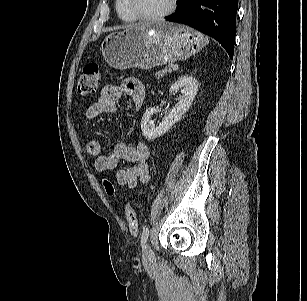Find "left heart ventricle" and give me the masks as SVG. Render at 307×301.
I'll use <instances>...</instances> for the list:
<instances>
[{"mask_svg":"<svg viewBox=\"0 0 307 301\" xmlns=\"http://www.w3.org/2000/svg\"><path fill=\"white\" fill-rule=\"evenodd\" d=\"M139 11L146 15H152L164 11L170 4V0H134Z\"/></svg>","mask_w":307,"mask_h":301,"instance_id":"left-heart-ventricle-1","label":"left heart ventricle"}]
</instances>
